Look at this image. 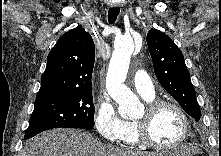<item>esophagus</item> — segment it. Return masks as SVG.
<instances>
[{
	"instance_id": "34e87169",
	"label": "esophagus",
	"mask_w": 221,
	"mask_h": 156,
	"mask_svg": "<svg viewBox=\"0 0 221 156\" xmlns=\"http://www.w3.org/2000/svg\"><path fill=\"white\" fill-rule=\"evenodd\" d=\"M110 6L111 7H119V4L118 3H111Z\"/></svg>"
}]
</instances>
